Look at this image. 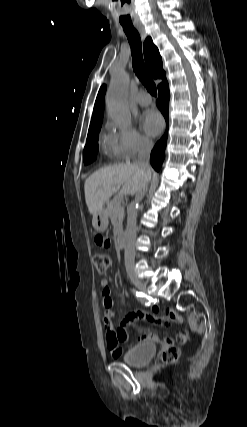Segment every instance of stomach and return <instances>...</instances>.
Masks as SVG:
<instances>
[{"mask_svg": "<svg viewBox=\"0 0 247 427\" xmlns=\"http://www.w3.org/2000/svg\"><path fill=\"white\" fill-rule=\"evenodd\" d=\"M92 225L96 231L103 232L108 226V217L105 209H102L92 219Z\"/></svg>", "mask_w": 247, "mask_h": 427, "instance_id": "obj_1", "label": "stomach"}]
</instances>
